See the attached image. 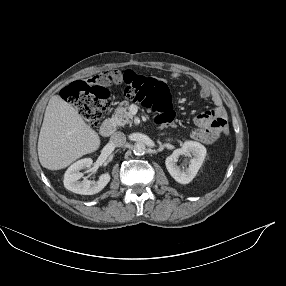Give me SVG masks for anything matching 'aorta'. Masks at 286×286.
Listing matches in <instances>:
<instances>
[{
	"label": "aorta",
	"mask_w": 286,
	"mask_h": 286,
	"mask_svg": "<svg viewBox=\"0 0 286 286\" xmlns=\"http://www.w3.org/2000/svg\"><path fill=\"white\" fill-rule=\"evenodd\" d=\"M146 151V147L143 143L137 142L133 146V152L136 155H143Z\"/></svg>",
	"instance_id": "obj_1"
}]
</instances>
